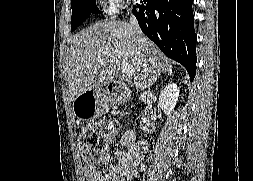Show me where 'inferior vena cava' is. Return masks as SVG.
<instances>
[{
  "label": "inferior vena cava",
  "instance_id": "602c4592",
  "mask_svg": "<svg viewBox=\"0 0 253 181\" xmlns=\"http://www.w3.org/2000/svg\"><path fill=\"white\" fill-rule=\"evenodd\" d=\"M130 24L133 26V28L136 30V32L139 36L143 35V33L139 27L138 21L134 15H130Z\"/></svg>",
  "mask_w": 253,
  "mask_h": 181
}]
</instances>
